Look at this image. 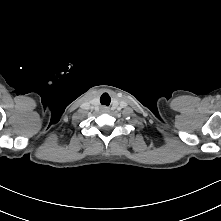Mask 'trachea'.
<instances>
[{"mask_svg":"<svg viewBox=\"0 0 221 221\" xmlns=\"http://www.w3.org/2000/svg\"><path fill=\"white\" fill-rule=\"evenodd\" d=\"M100 102L102 105L109 106V104L111 102V98L109 97L108 94L104 93L100 98Z\"/></svg>","mask_w":221,"mask_h":221,"instance_id":"trachea-1","label":"trachea"}]
</instances>
